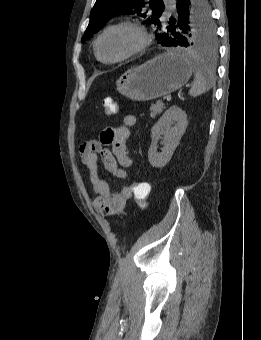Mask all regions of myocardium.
Masks as SVG:
<instances>
[{"mask_svg": "<svg viewBox=\"0 0 261 340\" xmlns=\"http://www.w3.org/2000/svg\"><path fill=\"white\" fill-rule=\"evenodd\" d=\"M122 26L132 28L138 33V35H139L138 45L133 50H131L128 53H126L122 56H119L117 58H114V59H104V58H102L100 53H99V43H100L102 37L108 31H110L114 28L122 27ZM150 42H151V37L148 33V30L146 29V27L142 23H140L139 21H136V20L123 19V20H120V21H117L115 23L108 25L106 28H104L102 30V32L97 36V38L94 42V52H95L96 57L101 62L107 63V64H112V63H117V62L127 60V59L139 54L140 52L144 51L149 46Z\"/></svg>", "mask_w": 261, "mask_h": 340, "instance_id": "1", "label": "myocardium"}]
</instances>
